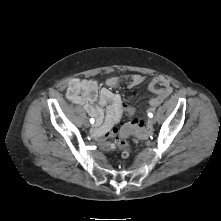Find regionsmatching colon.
<instances>
[{"mask_svg": "<svg viewBox=\"0 0 221 221\" xmlns=\"http://www.w3.org/2000/svg\"><path fill=\"white\" fill-rule=\"evenodd\" d=\"M143 124L141 121H136L135 119H130L127 123L122 125L121 130L118 131V138L115 142H104L101 144L104 150L120 149L122 151L123 157H128L130 152L128 148L127 141L132 139V133L137 129L142 128Z\"/></svg>", "mask_w": 221, "mask_h": 221, "instance_id": "colon-1", "label": "colon"}]
</instances>
